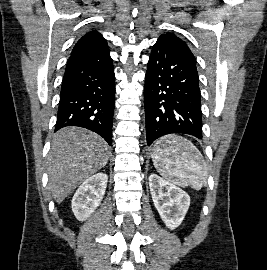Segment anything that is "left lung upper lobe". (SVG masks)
<instances>
[{"label": "left lung upper lobe", "instance_id": "left-lung-upper-lobe-1", "mask_svg": "<svg viewBox=\"0 0 267 270\" xmlns=\"http://www.w3.org/2000/svg\"><path fill=\"white\" fill-rule=\"evenodd\" d=\"M157 41L165 44H170L178 48L180 51H182L184 54H187L193 61L196 62L195 57L188 48L187 44L173 33L163 34L159 37Z\"/></svg>", "mask_w": 267, "mask_h": 270}]
</instances>
